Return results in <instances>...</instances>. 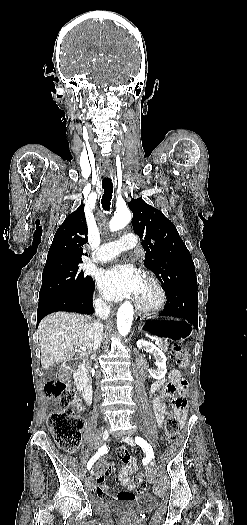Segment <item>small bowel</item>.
<instances>
[{"label": "small bowel", "instance_id": "1", "mask_svg": "<svg viewBox=\"0 0 247 525\" xmlns=\"http://www.w3.org/2000/svg\"><path fill=\"white\" fill-rule=\"evenodd\" d=\"M169 382L177 386L180 395L185 394L186 386L181 385L182 375L179 370L172 369L168 375ZM153 410L155 414L156 422L159 426H162L164 421V415L167 411V406L164 402V395H155L152 399ZM179 419H183L184 412H177ZM119 458L122 462V467L119 472V481L124 488L123 491L119 492L116 499L119 501H130L134 498L133 490L135 485L131 479V475L138 471L139 466L135 457H132L127 450L120 449L118 451ZM104 474H116V469H104ZM102 473L97 474L96 479L98 481L97 490L105 492L107 490V481Z\"/></svg>", "mask_w": 247, "mask_h": 525}]
</instances>
